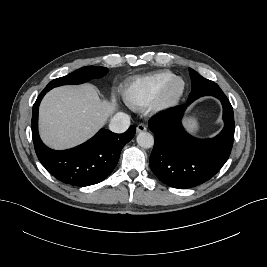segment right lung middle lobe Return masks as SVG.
<instances>
[{
	"mask_svg": "<svg viewBox=\"0 0 267 267\" xmlns=\"http://www.w3.org/2000/svg\"><path fill=\"white\" fill-rule=\"evenodd\" d=\"M107 72L108 69L105 67H100V66L82 67L69 75L52 80L46 86V88L52 89L54 87L66 84H81L90 79L103 77L104 75L107 74Z\"/></svg>",
	"mask_w": 267,
	"mask_h": 267,
	"instance_id": "dd1d6c3e",
	"label": "right lung middle lobe"
}]
</instances>
